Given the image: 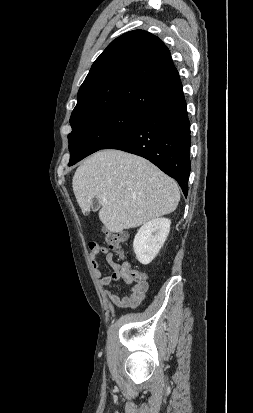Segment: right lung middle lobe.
Instances as JSON below:
<instances>
[{
    "label": "right lung middle lobe",
    "instance_id": "right-lung-middle-lobe-1",
    "mask_svg": "<svg viewBox=\"0 0 253 413\" xmlns=\"http://www.w3.org/2000/svg\"><path fill=\"white\" fill-rule=\"evenodd\" d=\"M145 115L120 109L100 112L71 122L72 132L68 135L70 150L68 165L72 166L86 156L122 138L136 128Z\"/></svg>",
    "mask_w": 253,
    "mask_h": 413
}]
</instances>
